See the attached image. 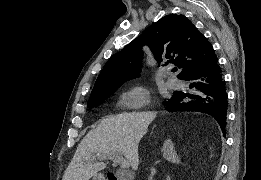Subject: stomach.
I'll return each instance as SVG.
<instances>
[{
	"label": "stomach",
	"mask_w": 261,
	"mask_h": 180,
	"mask_svg": "<svg viewBox=\"0 0 261 180\" xmlns=\"http://www.w3.org/2000/svg\"><path fill=\"white\" fill-rule=\"evenodd\" d=\"M92 180H105V177L101 173H97L92 177Z\"/></svg>",
	"instance_id": "stomach-1"
}]
</instances>
